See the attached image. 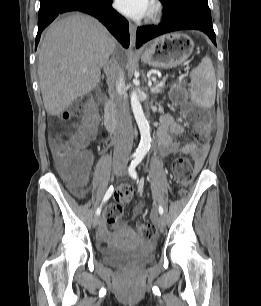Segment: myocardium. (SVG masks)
Returning a JSON list of instances; mask_svg holds the SVG:
<instances>
[{
	"label": "myocardium",
	"instance_id": "f54148a6",
	"mask_svg": "<svg viewBox=\"0 0 261 306\" xmlns=\"http://www.w3.org/2000/svg\"><path fill=\"white\" fill-rule=\"evenodd\" d=\"M163 14V9L160 3H155L152 7L150 18L152 20H159Z\"/></svg>",
	"mask_w": 261,
	"mask_h": 306
}]
</instances>
